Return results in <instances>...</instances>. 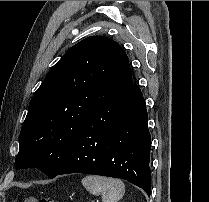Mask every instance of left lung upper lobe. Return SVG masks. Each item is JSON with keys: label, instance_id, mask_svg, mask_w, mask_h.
Instances as JSON below:
<instances>
[{"label": "left lung upper lobe", "instance_id": "obj_1", "mask_svg": "<svg viewBox=\"0 0 209 202\" xmlns=\"http://www.w3.org/2000/svg\"><path fill=\"white\" fill-rule=\"evenodd\" d=\"M132 84L129 59L117 42L91 36L72 46L30 101L15 168L37 167L52 177L85 119Z\"/></svg>", "mask_w": 209, "mask_h": 202}]
</instances>
